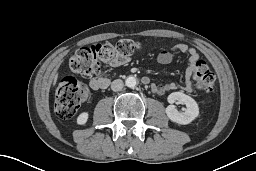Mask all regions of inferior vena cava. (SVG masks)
<instances>
[{
	"mask_svg": "<svg viewBox=\"0 0 256 171\" xmlns=\"http://www.w3.org/2000/svg\"><path fill=\"white\" fill-rule=\"evenodd\" d=\"M124 83L120 79H116L111 83V89L115 92L121 91L123 89Z\"/></svg>",
	"mask_w": 256,
	"mask_h": 171,
	"instance_id": "602c4592",
	"label": "inferior vena cava"
}]
</instances>
